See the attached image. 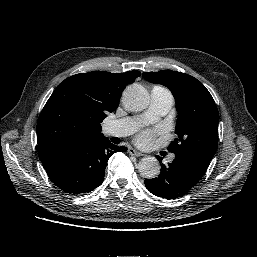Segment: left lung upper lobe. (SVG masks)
<instances>
[{"label": "left lung upper lobe", "instance_id": "obj_1", "mask_svg": "<svg viewBox=\"0 0 257 257\" xmlns=\"http://www.w3.org/2000/svg\"><path fill=\"white\" fill-rule=\"evenodd\" d=\"M152 83L168 87L176 101L177 138L170 152L192 151L212 159L217 149L219 113L209 91L194 77L176 71L144 72Z\"/></svg>", "mask_w": 257, "mask_h": 257}]
</instances>
